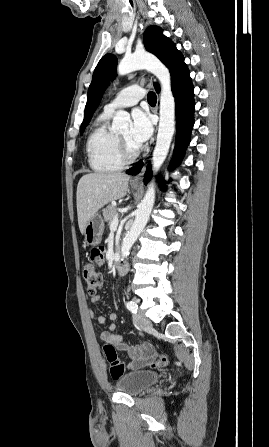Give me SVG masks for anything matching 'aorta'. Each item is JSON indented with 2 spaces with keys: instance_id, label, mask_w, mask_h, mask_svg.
Returning <instances> with one entry per match:
<instances>
[{
  "instance_id": "1",
  "label": "aorta",
  "mask_w": 269,
  "mask_h": 447,
  "mask_svg": "<svg viewBox=\"0 0 269 447\" xmlns=\"http://www.w3.org/2000/svg\"><path fill=\"white\" fill-rule=\"evenodd\" d=\"M136 70H148L158 78L161 84L160 108H159V126L156 140V146L153 152V170L158 172L163 162L167 158L170 144L175 132V100L171 92L170 72L156 56L142 52V54H131L124 56L120 64H118L117 72L119 76H126L130 72ZM130 116L128 112L118 110L113 118L112 130H129ZM155 200L154 182H151L141 206H139L136 218L132 227L123 237L121 245L122 257L128 255L134 241L140 235L142 229L149 220Z\"/></svg>"
}]
</instances>
